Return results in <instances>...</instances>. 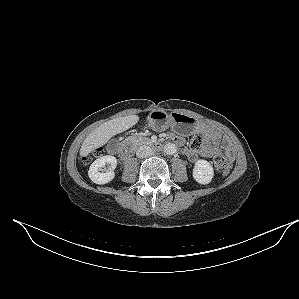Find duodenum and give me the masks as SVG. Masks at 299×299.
<instances>
[{
	"instance_id": "duodenum-1",
	"label": "duodenum",
	"mask_w": 299,
	"mask_h": 299,
	"mask_svg": "<svg viewBox=\"0 0 299 299\" xmlns=\"http://www.w3.org/2000/svg\"><path fill=\"white\" fill-rule=\"evenodd\" d=\"M134 146V142L126 141L118 146V153L120 154V156L127 158L133 152ZM149 146L155 150H160L163 147L160 142H150Z\"/></svg>"
}]
</instances>
